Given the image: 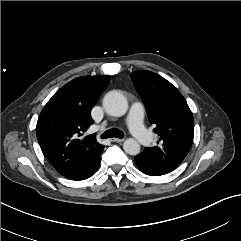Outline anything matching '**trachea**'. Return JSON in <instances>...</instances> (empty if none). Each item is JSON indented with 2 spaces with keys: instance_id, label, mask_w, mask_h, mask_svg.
<instances>
[{
  "instance_id": "obj_1",
  "label": "trachea",
  "mask_w": 241,
  "mask_h": 241,
  "mask_svg": "<svg viewBox=\"0 0 241 241\" xmlns=\"http://www.w3.org/2000/svg\"><path fill=\"white\" fill-rule=\"evenodd\" d=\"M119 138L122 139L124 137V133L118 129L112 128L107 131H105L102 135V139H107V138Z\"/></svg>"
}]
</instances>
